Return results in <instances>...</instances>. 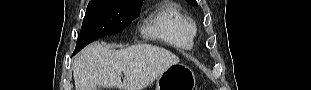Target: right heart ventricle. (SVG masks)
Segmentation results:
<instances>
[{
    "label": "right heart ventricle",
    "mask_w": 311,
    "mask_h": 90,
    "mask_svg": "<svg viewBox=\"0 0 311 90\" xmlns=\"http://www.w3.org/2000/svg\"><path fill=\"white\" fill-rule=\"evenodd\" d=\"M144 32L151 38L188 50L193 46L196 28L178 5L168 4L147 22Z\"/></svg>",
    "instance_id": "obj_1"
}]
</instances>
